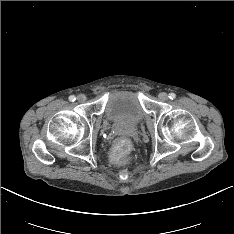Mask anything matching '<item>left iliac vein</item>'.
<instances>
[{
    "mask_svg": "<svg viewBox=\"0 0 234 234\" xmlns=\"http://www.w3.org/2000/svg\"><path fill=\"white\" fill-rule=\"evenodd\" d=\"M168 95H167V93H165V92H161L159 95H158V98L161 100V101H166V100H168Z\"/></svg>",
    "mask_w": 234,
    "mask_h": 234,
    "instance_id": "4c4485c4",
    "label": "left iliac vein"
}]
</instances>
